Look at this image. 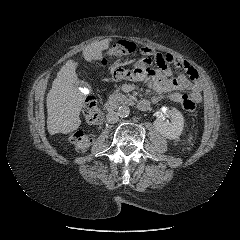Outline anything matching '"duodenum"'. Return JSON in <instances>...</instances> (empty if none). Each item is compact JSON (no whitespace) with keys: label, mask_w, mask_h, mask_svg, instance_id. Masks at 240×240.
<instances>
[{"label":"duodenum","mask_w":240,"mask_h":240,"mask_svg":"<svg viewBox=\"0 0 240 240\" xmlns=\"http://www.w3.org/2000/svg\"><path fill=\"white\" fill-rule=\"evenodd\" d=\"M136 106L140 111H146L149 108V103L146 100H139L137 101ZM116 107H117V104L114 100H108L105 103V109L108 112L113 111Z\"/></svg>","instance_id":"obj_1"}]
</instances>
